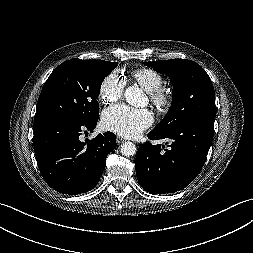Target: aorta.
Returning a JSON list of instances; mask_svg holds the SVG:
<instances>
[{
  "mask_svg": "<svg viewBox=\"0 0 253 253\" xmlns=\"http://www.w3.org/2000/svg\"><path fill=\"white\" fill-rule=\"evenodd\" d=\"M124 97L129 105L135 107H143L147 103V98L143 90L136 86L128 87L124 92ZM120 151L124 156L130 157L136 154L137 149L134 143L125 142L121 144Z\"/></svg>",
  "mask_w": 253,
  "mask_h": 253,
  "instance_id": "762f6f07",
  "label": "aorta"
}]
</instances>
